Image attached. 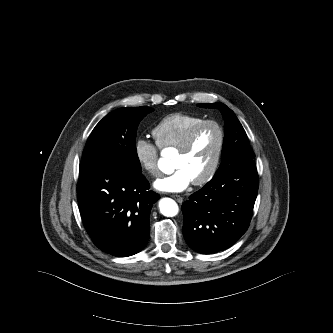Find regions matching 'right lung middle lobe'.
<instances>
[{
  "instance_id": "obj_1",
  "label": "right lung middle lobe",
  "mask_w": 333,
  "mask_h": 333,
  "mask_svg": "<svg viewBox=\"0 0 333 333\" xmlns=\"http://www.w3.org/2000/svg\"><path fill=\"white\" fill-rule=\"evenodd\" d=\"M153 109L147 106L119 108L106 115L93 129L81 164H119L141 172L136 151V131L140 121Z\"/></svg>"
}]
</instances>
